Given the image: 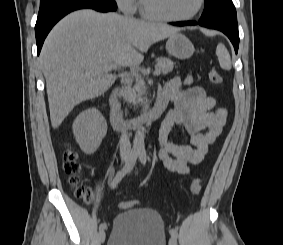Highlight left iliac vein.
<instances>
[{
	"label": "left iliac vein",
	"mask_w": 283,
	"mask_h": 245,
	"mask_svg": "<svg viewBox=\"0 0 283 245\" xmlns=\"http://www.w3.org/2000/svg\"><path fill=\"white\" fill-rule=\"evenodd\" d=\"M169 245H177V241H176V239L174 237H171L169 239Z\"/></svg>",
	"instance_id": "obj_1"
}]
</instances>
